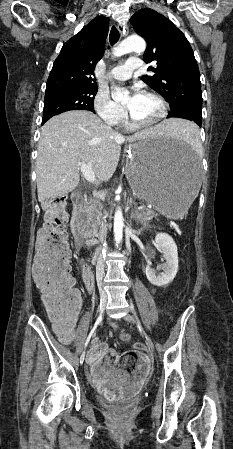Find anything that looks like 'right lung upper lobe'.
Returning <instances> with one entry per match:
<instances>
[{
    "label": "right lung upper lobe",
    "mask_w": 233,
    "mask_h": 449,
    "mask_svg": "<svg viewBox=\"0 0 233 449\" xmlns=\"http://www.w3.org/2000/svg\"><path fill=\"white\" fill-rule=\"evenodd\" d=\"M109 19L96 17L62 47L47 80L45 93L97 86L94 68L104 54Z\"/></svg>",
    "instance_id": "obj_1"
}]
</instances>
